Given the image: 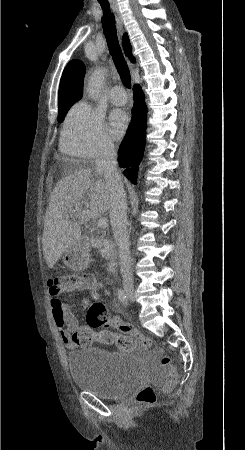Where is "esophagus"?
Segmentation results:
<instances>
[{
  "instance_id": "1",
  "label": "esophagus",
  "mask_w": 245,
  "mask_h": 450,
  "mask_svg": "<svg viewBox=\"0 0 245 450\" xmlns=\"http://www.w3.org/2000/svg\"><path fill=\"white\" fill-rule=\"evenodd\" d=\"M111 6H112V9H113L114 14H115L116 25H117L118 32H119V34H122V32H123V21H122L121 14L119 12L118 5L116 3H111ZM130 66H131V69L133 70V66L132 65H130Z\"/></svg>"
}]
</instances>
